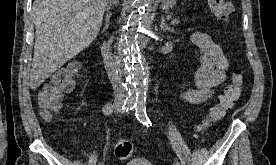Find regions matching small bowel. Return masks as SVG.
<instances>
[{
  "label": "small bowel",
  "mask_w": 276,
  "mask_h": 165,
  "mask_svg": "<svg viewBox=\"0 0 276 165\" xmlns=\"http://www.w3.org/2000/svg\"><path fill=\"white\" fill-rule=\"evenodd\" d=\"M191 41L197 48L200 65L195 71L197 89L189 88L181 98L191 104H199L213 97L216 89L227 78L229 63L221 47L205 33H195Z\"/></svg>",
  "instance_id": "small-bowel-1"
}]
</instances>
